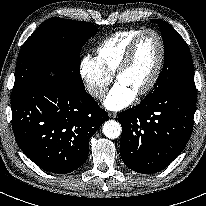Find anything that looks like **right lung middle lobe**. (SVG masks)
Listing matches in <instances>:
<instances>
[{
    "instance_id": "dd1d6c3e",
    "label": "right lung middle lobe",
    "mask_w": 206,
    "mask_h": 206,
    "mask_svg": "<svg viewBox=\"0 0 206 206\" xmlns=\"http://www.w3.org/2000/svg\"><path fill=\"white\" fill-rule=\"evenodd\" d=\"M98 28L91 23L62 18L43 22L23 44L16 64L12 96L53 71L56 77L84 89L80 52Z\"/></svg>"
}]
</instances>
